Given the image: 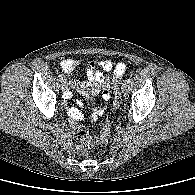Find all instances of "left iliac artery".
I'll return each mask as SVG.
<instances>
[{"instance_id": "44dca946", "label": "left iliac artery", "mask_w": 195, "mask_h": 195, "mask_svg": "<svg viewBox=\"0 0 195 195\" xmlns=\"http://www.w3.org/2000/svg\"><path fill=\"white\" fill-rule=\"evenodd\" d=\"M126 82H127L128 84H130V83H131V79H127Z\"/></svg>"}]
</instances>
